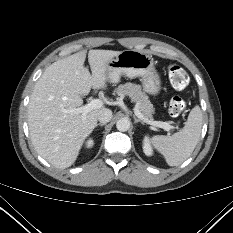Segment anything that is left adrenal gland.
<instances>
[{
	"label": "left adrenal gland",
	"mask_w": 233,
	"mask_h": 233,
	"mask_svg": "<svg viewBox=\"0 0 233 233\" xmlns=\"http://www.w3.org/2000/svg\"><path fill=\"white\" fill-rule=\"evenodd\" d=\"M134 122H135V124L140 122L142 125H144V122L141 121L140 119L136 118V117H134Z\"/></svg>",
	"instance_id": "a2214340"
}]
</instances>
